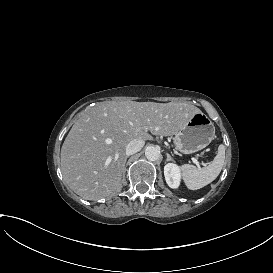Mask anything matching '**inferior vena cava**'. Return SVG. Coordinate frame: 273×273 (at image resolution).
<instances>
[{
	"label": "inferior vena cava",
	"instance_id": "602c4592",
	"mask_svg": "<svg viewBox=\"0 0 273 273\" xmlns=\"http://www.w3.org/2000/svg\"><path fill=\"white\" fill-rule=\"evenodd\" d=\"M144 146V140L142 139H133L126 146V155H132L141 150Z\"/></svg>",
	"mask_w": 273,
	"mask_h": 273
}]
</instances>
